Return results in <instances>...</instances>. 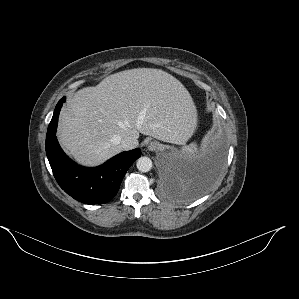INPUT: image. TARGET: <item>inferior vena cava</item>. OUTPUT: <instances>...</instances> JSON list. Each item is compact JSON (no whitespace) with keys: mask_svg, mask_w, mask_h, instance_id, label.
I'll use <instances>...</instances> for the list:
<instances>
[{"mask_svg":"<svg viewBox=\"0 0 299 299\" xmlns=\"http://www.w3.org/2000/svg\"><path fill=\"white\" fill-rule=\"evenodd\" d=\"M138 140L134 137L128 136L120 140V147L122 150H131L136 148Z\"/></svg>","mask_w":299,"mask_h":299,"instance_id":"1","label":"inferior vena cava"}]
</instances>
